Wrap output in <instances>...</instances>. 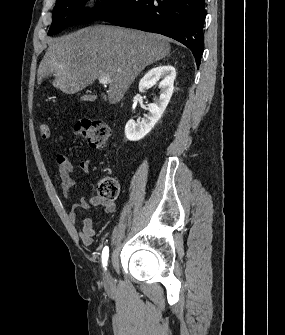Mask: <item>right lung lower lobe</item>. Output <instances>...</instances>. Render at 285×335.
Returning a JSON list of instances; mask_svg holds the SVG:
<instances>
[{"label": "right lung lower lobe", "instance_id": "98d812e1", "mask_svg": "<svg viewBox=\"0 0 285 335\" xmlns=\"http://www.w3.org/2000/svg\"><path fill=\"white\" fill-rule=\"evenodd\" d=\"M205 0H120L97 19L171 37L193 53L199 66L204 50Z\"/></svg>", "mask_w": 285, "mask_h": 335}]
</instances>
